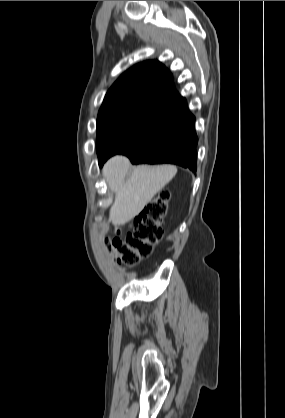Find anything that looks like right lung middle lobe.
Wrapping results in <instances>:
<instances>
[{"mask_svg":"<svg viewBox=\"0 0 285 418\" xmlns=\"http://www.w3.org/2000/svg\"><path fill=\"white\" fill-rule=\"evenodd\" d=\"M174 110L141 102H123L102 108L97 118L98 159L128 148L164 122Z\"/></svg>","mask_w":285,"mask_h":418,"instance_id":"dd1d6c3e","label":"right lung middle lobe"}]
</instances>
